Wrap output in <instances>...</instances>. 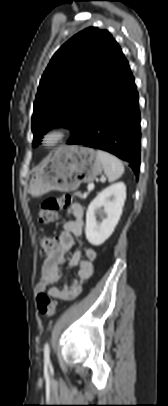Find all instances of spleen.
<instances>
[{"mask_svg": "<svg viewBox=\"0 0 168 406\" xmlns=\"http://www.w3.org/2000/svg\"><path fill=\"white\" fill-rule=\"evenodd\" d=\"M102 166L104 173L109 182L119 179L124 173L123 163L115 156L102 150L96 152Z\"/></svg>", "mask_w": 168, "mask_h": 406, "instance_id": "spleen-1", "label": "spleen"}]
</instances>
